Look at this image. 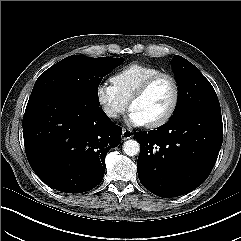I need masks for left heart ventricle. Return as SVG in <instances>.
<instances>
[{"label": "left heart ventricle", "mask_w": 241, "mask_h": 241, "mask_svg": "<svg viewBox=\"0 0 241 241\" xmlns=\"http://www.w3.org/2000/svg\"><path fill=\"white\" fill-rule=\"evenodd\" d=\"M174 96V88L169 79L158 80L148 92L136 100L131 110L136 112L145 123L162 117L169 109Z\"/></svg>", "instance_id": "left-heart-ventricle-1"}]
</instances>
